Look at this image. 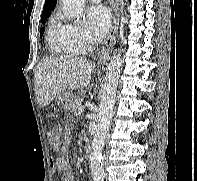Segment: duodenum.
Wrapping results in <instances>:
<instances>
[{
    "label": "duodenum",
    "instance_id": "1",
    "mask_svg": "<svg viewBox=\"0 0 197 181\" xmlns=\"http://www.w3.org/2000/svg\"><path fill=\"white\" fill-rule=\"evenodd\" d=\"M85 155L87 159L91 158V146L90 145H86L85 147Z\"/></svg>",
    "mask_w": 197,
    "mask_h": 181
}]
</instances>
